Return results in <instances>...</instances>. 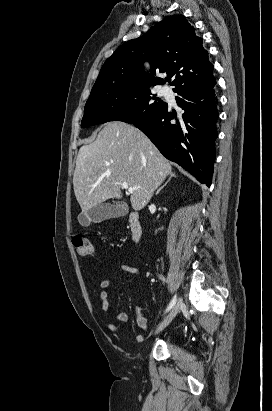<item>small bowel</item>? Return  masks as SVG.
Masks as SVG:
<instances>
[{
  "label": "small bowel",
  "instance_id": "1",
  "mask_svg": "<svg viewBox=\"0 0 272 411\" xmlns=\"http://www.w3.org/2000/svg\"><path fill=\"white\" fill-rule=\"evenodd\" d=\"M118 270L121 271V272L130 273L134 276L139 275L138 268H136L134 266L120 265L118 267ZM112 282H113L112 278H106V279H103L100 282L101 291L99 293V299L101 301L102 311L105 314H108L109 310H110V304H109V300H108L107 288L112 284ZM135 314H136L137 325L139 326V328L142 331L147 332L149 330V323H148L147 318L143 315L142 310L139 307L136 308ZM116 319L120 322H126L128 320V314L125 313V312H118L116 314ZM107 327L112 333H118L119 332L118 327L112 322H109ZM143 340H144V335L142 333H138V334L135 335V341L136 342H142Z\"/></svg>",
  "mask_w": 272,
  "mask_h": 411
}]
</instances>
